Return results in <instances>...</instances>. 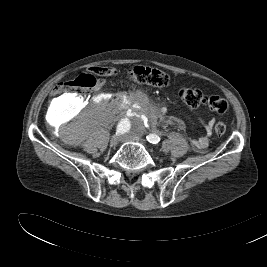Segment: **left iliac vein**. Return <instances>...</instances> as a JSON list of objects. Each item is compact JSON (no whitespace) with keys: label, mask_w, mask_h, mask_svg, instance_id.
<instances>
[{"label":"left iliac vein","mask_w":267,"mask_h":267,"mask_svg":"<svg viewBox=\"0 0 267 267\" xmlns=\"http://www.w3.org/2000/svg\"><path fill=\"white\" fill-rule=\"evenodd\" d=\"M126 139H130L136 142H139L143 145H146V142L144 140H142L139 136H137L136 134H131L130 136H127Z\"/></svg>","instance_id":"4c4485c4"}]
</instances>
